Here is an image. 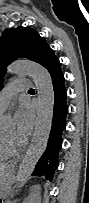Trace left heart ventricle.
Returning <instances> with one entry per match:
<instances>
[{"instance_id":"1","label":"left heart ventricle","mask_w":89,"mask_h":203,"mask_svg":"<svg viewBox=\"0 0 89 203\" xmlns=\"http://www.w3.org/2000/svg\"><path fill=\"white\" fill-rule=\"evenodd\" d=\"M4 138L15 146L22 145V142L17 138L14 125H10L3 131Z\"/></svg>"}]
</instances>
